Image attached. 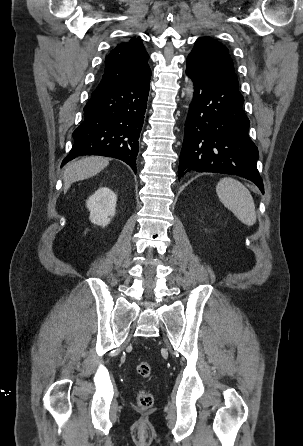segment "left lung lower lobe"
<instances>
[{
  "label": "left lung lower lobe",
  "instance_id": "obj_1",
  "mask_svg": "<svg viewBox=\"0 0 303 446\" xmlns=\"http://www.w3.org/2000/svg\"><path fill=\"white\" fill-rule=\"evenodd\" d=\"M186 74L195 92L185 123L178 177L186 172L233 174L255 183L264 193L256 167L258 150L247 132L239 88L187 59Z\"/></svg>",
  "mask_w": 303,
  "mask_h": 446
}]
</instances>
